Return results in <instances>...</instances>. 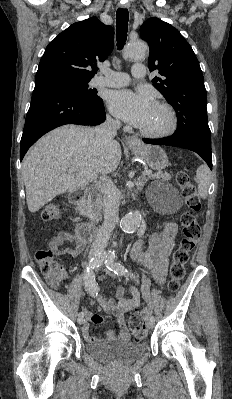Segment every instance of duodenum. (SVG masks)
<instances>
[{
    "label": "duodenum",
    "instance_id": "duodenum-1",
    "mask_svg": "<svg viewBox=\"0 0 232 399\" xmlns=\"http://www.w3.org/2000/svg\"><path fill=\"white\" fill-rule=\"evenodd\" d=\"M86 191L78 189L73 191L69 200L75 212H77L85 199ZM96 235V228L91 225H82L76 231V236L84 243L91 242Z\"/></svg>",
    "mask_w": 232,
    "mask_h": 399
}]
</instances>
